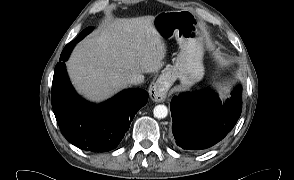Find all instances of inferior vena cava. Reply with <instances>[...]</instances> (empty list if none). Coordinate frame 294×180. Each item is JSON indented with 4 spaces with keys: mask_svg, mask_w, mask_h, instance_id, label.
Listing matches in <instances>:
<instances>
[{
    "mask_svg": "<svg viewBox=\"0 0 294 180\" xmlns=\"http://www.w3.org/2000/svg\"><path fill=\"white\" fill-rule=\"evenodd\" d=\"M144 82V75L141 73H134L128 79L127 83L130 85H138Z\"/></svg>",
    "mask_w": 294,
    "mask_h": 180,
    "instance_id": "602c4592",
    "label": "inferior vena cava"
}]
</instances>
